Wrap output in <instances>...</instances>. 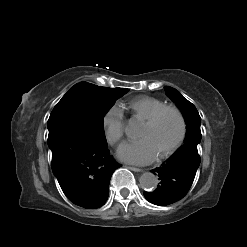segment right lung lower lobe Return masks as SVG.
<instances>
[{
  "mask_svg": "<svg viewBox=\"0 0 247 247\" xmlns=\"http://www.w3.org/2000/svg\"><path fill=\"white\" fill-rule=\"evenodd\" d=\"M52 171L64 194L75 205L99 208L109 194L113 172L120 167L109 154L106 144H99L74 130H49Z\"/></svg>",
  "mask_w": 247,
  "mask_h": 247,
  "instance_id": "obj_1",
  "label": "right lung lower lobe"
}]
</instances>
